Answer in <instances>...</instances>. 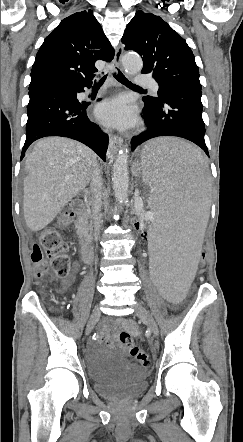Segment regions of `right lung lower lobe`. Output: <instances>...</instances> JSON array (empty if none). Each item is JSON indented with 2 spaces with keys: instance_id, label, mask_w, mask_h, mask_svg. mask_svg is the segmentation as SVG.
<instances>
[{
  "instance_id": "right-lung-lower-lobe-1",
  "label": "right lung lower lobe",
  "mask_w": 243,
  "mask_h": 442,
  "mask_svg": "<svg viewBox=\"0 0 243 442\" xmlns=\"http://www.w3.org/2000/svg\"><path fill=\"white\" fill-rule=\"evenodd\" d=\"M92 82L75 87L63 84H42L29 88L25 151L35 140L45 136H63L78 140L94 150L104 161L108 136L87 115L88 103L80 102L77 93Z\"/></svg>"
}]
</instances>
